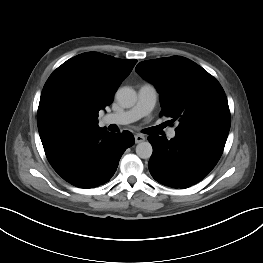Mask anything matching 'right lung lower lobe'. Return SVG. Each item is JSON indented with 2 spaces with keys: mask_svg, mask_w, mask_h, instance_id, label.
<instances>
[{
  "mask_svg": "<svg viewBox=\"0 0 263 263\" xmlns=\"http://www.w3.org/2000/svg\"><path fill=\"white\" fill-rule=\"evenodd\" d=\"M42 144L49 163L64 180L88 189L109 181L134 136L129 131L116 134L94 128Z\"/></svg>",
  "mask_w": 263,
  "mask_h": 263,
  "instance_id": "98d812e1",
  "label": "right lung lower lobe"
}]
</instances>
